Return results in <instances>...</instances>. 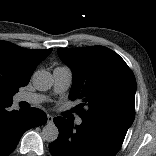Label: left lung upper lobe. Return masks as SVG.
<instances>
[{"label": "left lung upper lobe", "mask_w": 156, "mask_h": 156, "mask_svg": "<svg viewBox=\"0 0 156 156\" xmlns=\"http://www.w3.org/2000/svg\"><path fill=\"white\" fill-rule=\"evenodd\" d=\"M61 60L73 73L69 93L82 120L114 121L129 128L135 117L136 81L125 61L103 46L59 48Z\"/></svg>", "instance_id": "5c2ea615"}]
</instances>
